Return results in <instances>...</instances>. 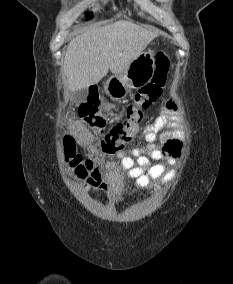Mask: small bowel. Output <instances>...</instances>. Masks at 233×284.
<instances>
[{
	"label": "small bowel",
	"mask_w": 233,
	"mask_h": 284,
	"mask_svg": "<svg viewBox=\"0 0 233 284\" xmlns=\"http://www.w3.org/2000/svg\"><path fill=\"white\" fill-rule=\"evenodd\" d=\"M179 106L174 99H169L159 110L152 124L144 127L146 147H133L127 152L116 154V160L103 166L96 161L86 183L89 187L116 192L130 178L141 188H148L151 182L159 180L169 182L174 177V170L169 169L183 153V144L174 130ZM80 143L90 139L88 130L82 124L74 126ZM152 161L158 162L152 164ZM165 161L166 163H162Z\"/></svg>",
	"instance_id": "small-bowel-1"
}]
</instances>
